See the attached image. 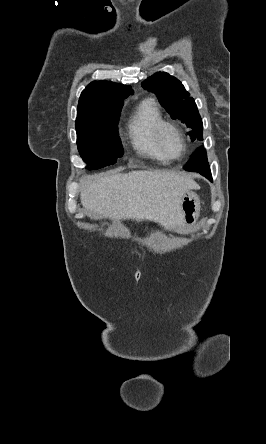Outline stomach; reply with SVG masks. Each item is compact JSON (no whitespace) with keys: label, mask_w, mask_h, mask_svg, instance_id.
<instances>
[{"label":"stomach","mask_w":266,"mask_h":444,"mask_svg":"<svg viewBox=\"0 0 266 444\" xmlns=\"http://www.w3.org/2000/svg\"><path fill=\"white\" fill-rule=\"evenodd\" d=\"M200 199L197 194L187 191L180 203L183 229L191 228L197 221L200 213Z\"/></svg>","instance_id":"obj_1"}]
</instances>
